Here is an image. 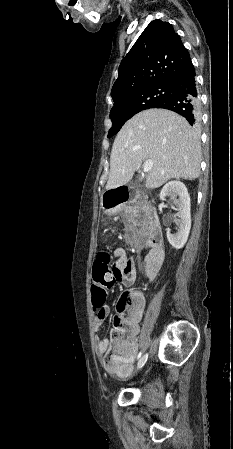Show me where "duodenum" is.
<instances>
[{
  "mask_svg": "<svg viewBox=\"0 0 233 449\" xmlns=\"http://www.w3.org/2000/svg\"><path fill=\"white\" fill-rule=\"evenodd\" d=\"M102 204L103 206L139 204L144 207L141 221L150 247L145 272L156 274L162 265L164 251L161 229L151 199L146 194L136 191L133 186H110L109 191L103 192Z\"/></svg>",
  "mask_w": 233,
  "mask_h": 449,
  "instance_id": "duodenum-1",
  "label": "duodenum"
}]
</instances>
